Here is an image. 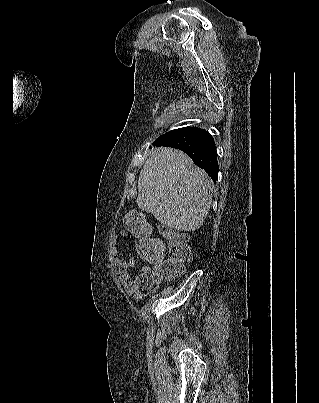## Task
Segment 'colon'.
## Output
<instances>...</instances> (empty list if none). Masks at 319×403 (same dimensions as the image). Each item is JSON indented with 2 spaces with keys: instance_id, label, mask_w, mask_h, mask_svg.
<instances>
[{
  "instance_id": "colon-1",
  "label": "colon",
  "mask_w": 319,
  "mask_h": 403,
  "mask_svg": "<svg viewBox=\"0 0 319 403\" xmlns=\"http://www.w3.org/2000/svg\"><path fill=\"white\" fill-rule=\"evenodd\" d=\"M125 224L139 238L136 251L153 264L152 268L137 277L139 294L152 293L162 281L172 280L184 273L186 264L192 259V250L184 232L169 228L163 230L164 241L169 245V254L165 257L163 243L151 238L148 223L140 212H129Z\"/></svg>"
}]
</instances>
